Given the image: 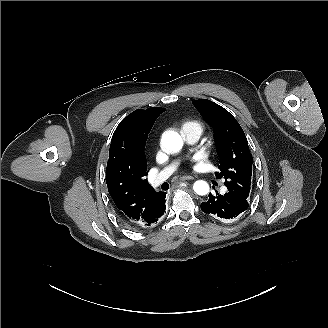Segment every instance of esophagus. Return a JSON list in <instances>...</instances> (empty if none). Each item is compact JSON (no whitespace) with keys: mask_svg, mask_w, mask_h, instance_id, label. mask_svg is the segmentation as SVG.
I'll return each mask as SVG.
<instances>
[{"mask_svg":"<svg viewBox=\"0 0 328 328\" xmlns=\"http://www.w3.org/2000/svg\"><path fill=\"white\" fill-rule=\"evenodd\" d=\"M194 178L192 176H182L180 177V181H187V180H193Z\"/></svg>","mask_w":328,"mask_h":328,"instance_id":"34e87169","label":"esophagus"}]
</instances>
